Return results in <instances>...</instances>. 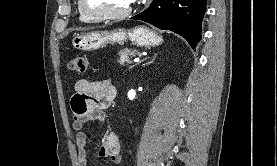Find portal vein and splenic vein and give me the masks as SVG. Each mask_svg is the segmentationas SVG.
<instances>
[{"label": "portal vein and splenic vein", "mask_w": 277, "mask_h": 166, "mask_svg": "<svg viewBox=\"0 0 277 166\" xmlns=\"http://www.w3.org/2000/svg\"><path fill=\"white\" fill-rule=\"evenodd\" d=\"M139 60H140L139 58H135L134 62H139Z\"/></svg>", "instance_id": "1"}]
</instances>
